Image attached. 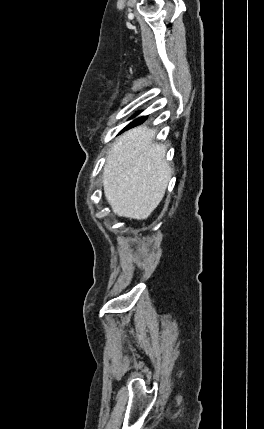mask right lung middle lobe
<instances>
[{"label":"right lung middle lobe","mask_w":264,"mask_h":429,"mask_svg":"<svg viewBox=\"0 0 264 429\" xmlns=\"http://www.w3.org/2000/svg\"><path fill=\"white\" fill-rule=\"evenodd\" d=\"M139 121H144V118H139L138 120H136V121L132 122L131 124L136 123V122H139ZM131 124H130V125H131Z\"/></svg>","instance_id":"right-lung-middle-lobe-1"}]
</instances>
